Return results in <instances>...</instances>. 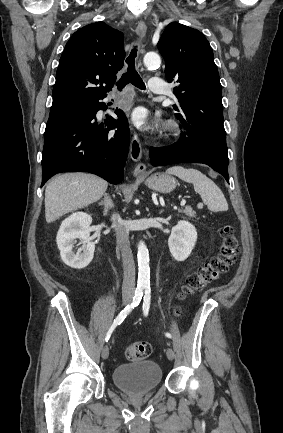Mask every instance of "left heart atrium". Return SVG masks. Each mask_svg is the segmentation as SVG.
<instances>
[{"mask_svg": "<svg viewBox=\"0 0 283 433\" xmlns=\"http://www.w3.org/2000/svg\"><path fill=\"white\" fill-rule=\"evenodd\" d=\"M133 123L143 132H152L157 127L156 124L151 123L146 116L143 108H136L132 113Z\"/></svg>", "mask_w": 283, "mask_h": 433, "instance_id": "left-heart-atrium-1", "label": "left heart atrium"}]
</instances>
